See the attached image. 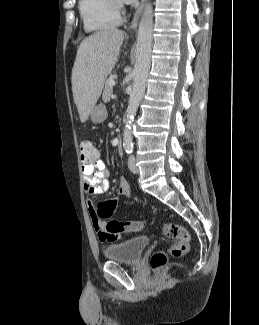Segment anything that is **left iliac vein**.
Returning a JSON list of instances; mask_svg holds the SVG:
<instances>
[{"label":"left iliac vein","instance_id":"obj_1","mask_svg":"<svg viewBox=\"0 0 259 325\" xmlns=\"http://www.w3.org/2000/svg\"><path fill=\"white\" fill-rule=\"evenodd\" d=\"M128 167L130 171L134 174L139 172L138 167L136 166V159L133 155H131L128 159Z\"/></svg>","mask_w":259,"mask_h":325}]
</instances>
